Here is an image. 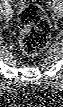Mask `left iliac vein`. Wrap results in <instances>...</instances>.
<instances>
[{
	"label": "left iliac vein",
	"mask_w": 63,
	"mask_h": 107,
	"mask_svg": "<svg viewBox=\"0 0 63 107\" xmlns=\"http://www.w3.org/2000/svg\"><path fill=\"white\" fill-rule=\"evenodd\" d=\"M54 11L56 14L60 15L62 13V6L57 4L54 6Z\"/></svg>",
	"instance_id": "obj_1"
}]
</instances>
